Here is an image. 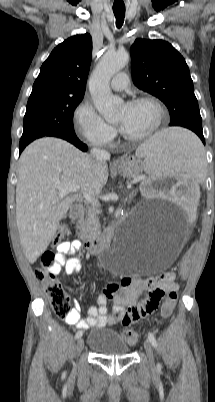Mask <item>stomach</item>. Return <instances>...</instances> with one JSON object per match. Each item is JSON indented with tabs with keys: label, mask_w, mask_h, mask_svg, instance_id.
<instances>
[{
	"label": "stomach",
	"mask_w": 215,
	"mask_h": 402,
	"mask_svg": "<svg viewBox=\"0 0 215 402\" xmlns=\"http://www.w3.org/2000/svg\"><path fill=\"white\" fill-rule=\"evenodd\" d=\"M118 173L126 178H135L143 171L140 160L136 157H125L116 167Z\"/></svg>",
	"instance_id": "obj_1"
}]
</instances>
